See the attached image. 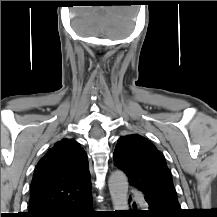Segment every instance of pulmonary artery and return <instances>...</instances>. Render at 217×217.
<instances>
[{
    "mask_svg": "<svg viewBox=\"0 0 217 217\" xmlns=\"http://www.w3.org/2000/svg\"><path fill=\"white\" fill-rule=\"evenodd\" d=\"M135 197L138 200L139 204H141V205L146 204V201L139 194H136Z\"/></svg>",
    "mask_w": 217,
    "mask_h": 217,
    "instance_id": "1",
    "label": "pulmonary artery"
}]
</instances>
